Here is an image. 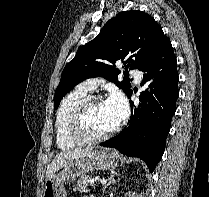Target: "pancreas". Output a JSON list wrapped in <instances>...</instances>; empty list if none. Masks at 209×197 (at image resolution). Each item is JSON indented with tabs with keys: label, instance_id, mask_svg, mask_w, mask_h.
I'll return each mask as SVG.
<instances>
[{
	"label": "pancreas",
	"instance_id": "obj_1",
	"mask_svg": "<svg viewBox=\"0 0 209 197\" xmlns=\"http://www.w3.org/2000/svg\"><path fill=\"white\" fill-rule=\"evenodd\" d=\"M92 186H94V184L89 176H81L77 180V184L74 190L79 191V192H82V191L88 192L90 190L89 187H92Z\"/></svg>",
	"mask_w": 209,
	"mask_h": 197
}]
</instances>
